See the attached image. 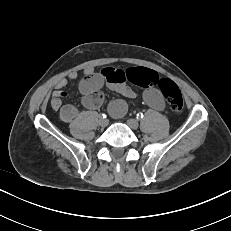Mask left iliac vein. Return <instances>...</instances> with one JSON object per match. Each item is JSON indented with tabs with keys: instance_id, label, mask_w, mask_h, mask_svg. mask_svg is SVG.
I'll return each mask as SVG.
<instances>
[{
	"instance_id": "4c4485c4",
	"label": "left iliac vein",
	"mask_w": 231,
	"mask_h": 231,
	"mask_svg": "<svg viewBox=\"0 0 231 231\" xmlns=\"http://www.w3.org/2000/svg\"><path fill=\"white\" fill-rule=\"evenodd\" d=\"M127 125L132 129L135 130L139 127V123L136 119L130 118L127 120Z\"/></svg>"
}]
</instances>
